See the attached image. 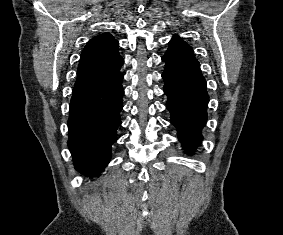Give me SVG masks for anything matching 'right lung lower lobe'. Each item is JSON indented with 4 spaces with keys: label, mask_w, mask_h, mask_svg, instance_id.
Masks as SVG:
<instances>
[{
    "label": "right lung lower lobe",
    "mask_w": 283,
    "mask_h": 235,
    "mask_svg": "<svg viewBox=\"0 0 283 235\" xmlns=\"http://www.w3.org/2000/svg\"><path fill=\"white\" fill-rule=\"evenodd\" d=\"M123 74L119 71L74 86L68 120V147L75 168L88 176L100 174L111 158L121 125Z\"/></svg>",
    "instance_id": "1"
}]
</instances>
